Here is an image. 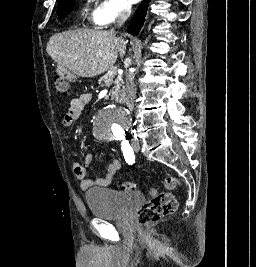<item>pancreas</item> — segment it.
<instances>
[{
  "mask_svg": "<svg viewBox=\"0 0 256 267\" xmlns=\"http://www.w3.org/2000/svg\"><path fill=\"white\" fill-rule=\"evenodd\" d=\"M115 76L116 74H112V76H110V74H106L105 78H102L99 84L104 82V86H106V88H109L111 84H114V90L111 92L112 100H115V102H124L125 90L122 86L123 82L121 78H117L116 82H114Z\"/></svg>",
  "mask_w": 256,
  "mask_h": 267,
  "instance_id": "cf45deb5",
  "label": "pancreas"
}]
</instances>
